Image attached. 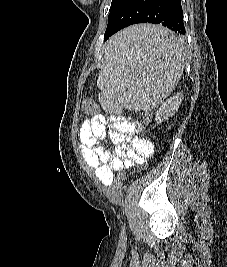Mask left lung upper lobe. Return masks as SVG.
I'll use <instances>...</instances> for the list:
<instances>
[{"label":"left lung upper lobe","mask_w":227,"mask_h":267,"mask_svg":"<svg viewBox=\"0 0 227 267\" xmlns=\"http://www.w3.org/2000/svg\"><path fill=\"white\" fill-rule=\"evenodd\" d=\"M128 0H112L109 16L115 13L120 7H122Z\"/></svg>","instance_id":"obj_1"}]
</instances>
